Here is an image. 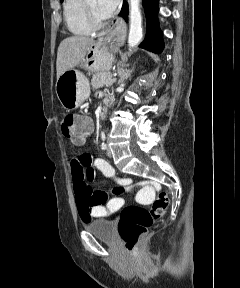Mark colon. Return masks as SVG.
Listing matches in <instances>:
<instances>
[{
	"instance_id": "colon-1",
	"label": "colon",
	"mask_w": 240,
	"mask_h": 288,
	"mask_svg": "<svg viewBox=\"0 0 240 288\" xmlns=\"http://www.w3.org/2000/svg\"><path fill=\"white\" fill-rule=\"evenodd\" d=\"M90 120L85 116L67 114L64 116L61 128L64 136L77 141L85 138L90 131ZM169 204L168 195L161 192L157 195L150 209L137 205L125 207L119 220V234L125 248L134 251L139 241L147 233L152 223L163 216Z\"/></svg>"
}]
</instances>
